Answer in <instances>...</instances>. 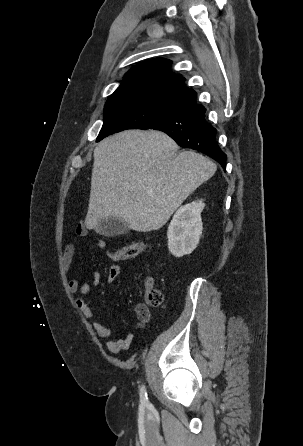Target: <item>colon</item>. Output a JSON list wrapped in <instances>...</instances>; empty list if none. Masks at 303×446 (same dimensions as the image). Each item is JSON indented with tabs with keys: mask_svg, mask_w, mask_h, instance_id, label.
<instances>
[{
	"mask_svg": "<svg viewBox=\"0 0 303 446\" xmlns=\"http://www.w3.org/2000/svg\"><path fill=\"white\" fill-rule=\"evenodd\" d=\"M148 244L144 241L133 242L117 251L110 253L109 257L115 262H121L137 257L148 249ZM163 300L162 292L156 288H150L147 292V301L151 306L161 304Z\"/></svg>",
	"mask_w": 303,
	"mask_h": 446,
	"instance_id": "colon-1",
	"label": "colon"
}]
</instances>
